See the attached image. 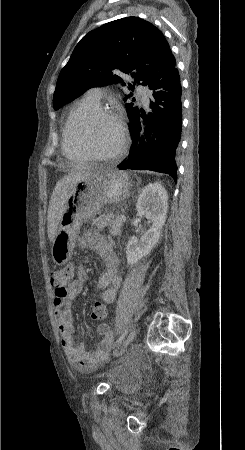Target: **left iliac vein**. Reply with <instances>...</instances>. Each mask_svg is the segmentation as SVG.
Masks as SVG:
<instances>
[{
    "label": "left iliac vein",
    "instance_id": "4c4485c4",
    "mask_svg": "<svg viewBox=\"0 0 245 450\" xmlns=\"http://www.w3.org/2000/svg\"><path fill=\"white\" fill-rule=\"evenodd\" d=\"M137 335V329H133L126 340L123 342V344L120 347V350L118 351L117 355H120L124 352V350L128 347V345L133 341L135 336Z\"/></svg>",
    "mask_w": 245,
    "mask_h": 450
}]
</instances>
